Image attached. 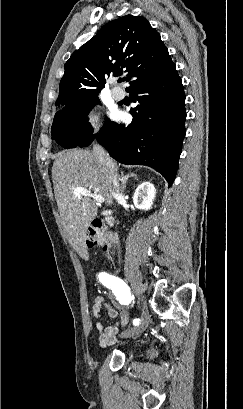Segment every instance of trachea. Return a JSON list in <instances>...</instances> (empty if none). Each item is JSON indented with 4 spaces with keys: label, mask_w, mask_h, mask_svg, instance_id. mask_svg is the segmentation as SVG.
Segmentation results:
<instances>
[{
    "label": "trachea",
    "mask_w": 243,
    "mask_h": 409,
    "mask_svg": "<svg viewBox=\"0 0 243 409\" xmlns=\"http://www.w3.org/2000/svg\"><path fill=\"white\" fill-rule=\"evenodd\" d=\"M122 81H124V79H121V78H120V79H119V82H122Z\"/></svg>",
    "instance_id": "trachea-1"
}]
</instances>
